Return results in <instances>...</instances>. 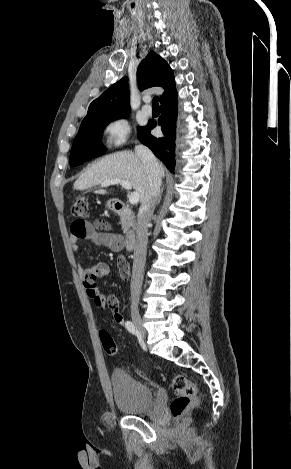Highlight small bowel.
I'll return each mask as SVG.
<instances>
[{"mask_svg": "<svg viewBox=\"0 0 291 469\" xmlns=\"http://www.w3.org/2000/svg\"><path fill=\"white\" fill-rule=\"evenodd\" d=\"M72 251L77 253L80 251L78 242L80 240H90L98 246L109 248L113 252H119L124 246L123 237L113 232L109 225L103 220H96L95 222H87L76 220L71 225ZM78 272L81 276L83 286L87 295L92 299L94 296H99L106 302L104 307H108L112 314L115 323L120 326L125 325V319L120 311L119 300L115 295H104L99 292L98 281L106 278L110 274V267L104 262L97 263L90 267L78 265Z\"/></svg>", "mask_w": 291, "mask_h": 469, "instance_id": "small-bowel-1", "label": "small bowel"}]
</instances>
